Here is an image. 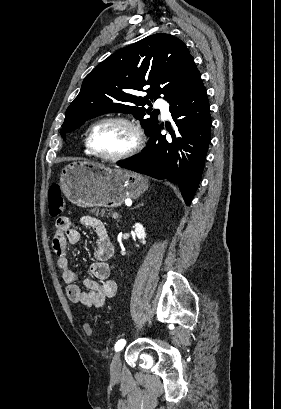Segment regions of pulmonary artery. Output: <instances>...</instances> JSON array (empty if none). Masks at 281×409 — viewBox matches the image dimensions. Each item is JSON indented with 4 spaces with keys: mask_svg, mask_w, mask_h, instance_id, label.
Listing matches in <instances>:
<instances>
[{
    "mask_svg": "<svg viewBox=\"0 0 281 409\" xmlns=\"http://www.w3.org/2000/svg\"><path fill=\"white\" fill-rule=\"evenodd\" d=\"M158 100L160 102H157V105L160 107L162 115L164 117H169L170 116L169 106L166 103H163V101L165 100V97L163 95H160L158 97Z\"/></svg>",
    "mask_w": 281,
    "mask_h": 409,
    "instance_id": "e3ab8cb5",
    "label": "pulmonary artery"
}]
</instances>
